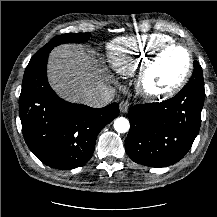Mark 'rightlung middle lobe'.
<instances>
[{"label": "right lung middle lobe", "mask_w": 217, "mask_h": 217, "mask_svg": "<svg viewBox=\"0 0 217 217\" xmlns=\"http://www.w3.org/2000/svg\"><path fill=\"white\" fill-rule=\"evenodd\" d=\"M90 37V33H67L64 35L56 36L52 38L44 47H42L37 53L31 58V60L40 58L55 47L63 43H81L87 41Z\"/></svg>", "instance_id": "right-lung-middle-lobe-1"}]
</instances>
